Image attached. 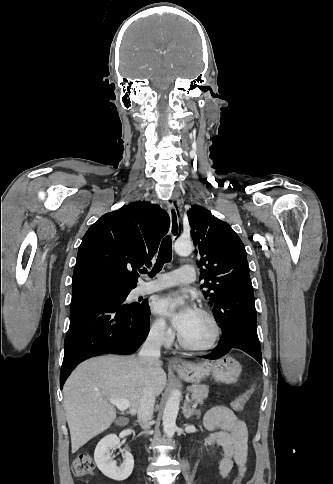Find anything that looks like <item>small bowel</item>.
Returning <instances> with one entry per match:
<instances>
[{"label":"small bowel","mask_w":333,"mask_h":484,"mask_svg":"<svg viewBox=\"0 0 333 484\" xmlns=\"http://www.w3.org/2000/svg\"><path fill=\"white\" fill-rule=\"evenodd\" d=\"M204 426L212 431L205 445H217L223 451L219 464L221 476H228L234 466L240 475H244L248 455V428L245 421L229 407L216 406L206 413Z\"/></svg>","instance_id":"c3829d8e"}]
</instances>
